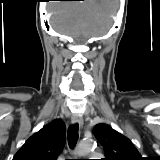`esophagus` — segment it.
I'll return each instance as SVG.
<instances>
[{
  "label": "esophagus",
  "mask_w": 160,
  "mask_h": 160,
  "mask_svg": "<svg viewBox=\"0 0 160 160\" xmlns=\"http://www.w3.org/2000/svg\"><path fill=\"white\" fill-rule=\"evenodd\" d=\"M71 120L73 124H78L80 127L83 125V118L77 114L73 115Z\"/></svg>",
  "instance_id": "obj_1"
}]
</instances>
